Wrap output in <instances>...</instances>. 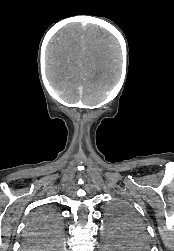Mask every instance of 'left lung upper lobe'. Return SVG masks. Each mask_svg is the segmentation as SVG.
I'll list each match as a JSON object with an SVG mask.
<instances>
[{
	"label": "left lung upper lobe",
	"instance_id": "obj_1",
	"mask_svg": "<svg viewBox=\"0 0 174 251\" xmlns=\"http://www.w3.org/2000/svg\"><path fill=\"white\" fill-rule=\"evenodd\" d=\"M109 228L116 239L124 237L132 247L145 251L149 246V241L145 227L135 216L132 209L125 203L114 204L108 210Z\"/></svg>",
	"mask_w": 174,
	"mask_h": 251
}]
</instances>
